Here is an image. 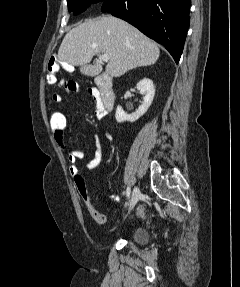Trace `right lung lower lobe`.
Segmentation results:
<instances>
[{"instance_id":"right-lung-lower-lobe-1","label":"right lung lower lobe","mask_w":240,"mask_h":287,"mask_svg":"<svg viewBox=\"0 0 240 287\" xmlns=\"http://www.w3.org/2000/svg\"><path fill=\"white\" fill-rule=\"evenodd\" d=\"M101 10L162 44L178 63L190 24V0H106Z\"/></svg>"}]
</instances>
